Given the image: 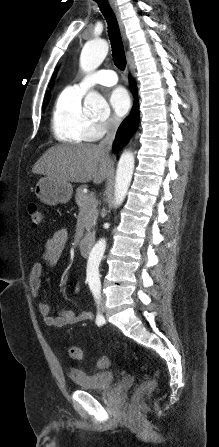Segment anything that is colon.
<instances>
[{"label":"colon","mask_w":219,"mask_h":447,"mask_svg":"<svg viewBox=\"0 0 219 447\" xmlns=\"http://www.w3.org/2000/svg\"><path fill=\"white\" fill-rule=\"evenodd\" d=\"M27 213L31 228H38L43 223V213L38 203H29L27 205ZM68 354L75 360H81L83 358V353L77 346H70L68 348ZM98 364L101 368H107L110 365V359L103 356L99 359ZM155 386L156 382L154 380H148L142 383L134 395L135 400H140L143 397L149 395L154 390Z\"/></svg>","instance_id":"5ec220e1"}]
</instances>
